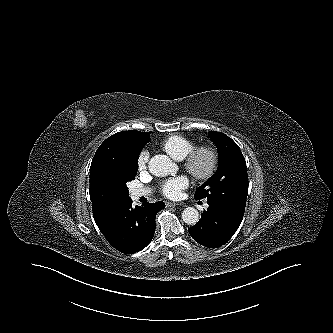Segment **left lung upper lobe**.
<instances>
[{"instance_id":"obj_1","label":"left lung upper lobe","mask_w":333,"mask_h":333,"mask_svg":"<svg viewBox=\"0 0 333 333\" xmlns=\"http://www.w3.org/2000/svg\"><path fill=\"white\" fill-rule=\"evenodd\" d=\"M219 153L216 173L197 188L195 199L207 198L245 210L248 195L246 161L239 146L227 135L211 131Z\"/></svg>"}]
</instances>
